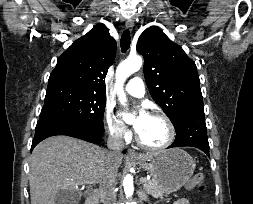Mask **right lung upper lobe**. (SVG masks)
<instances>
[{"label":"right lung upper lobe","mask_w":253,"mask_h":204,"mask_svg":"<svg viewBox=\"0 0 253 204\" xmlns=\"http://www.w3.org/2000/svg\"><path fill=\"white\" fill-rule=\"evenodd\" d=\"M115 54V40L103 24H98L58 58L48 86L70 85L104 96V79Z\"/></svg>","instance_id":"right-lung-upper-lobe-1"}]
</instances>
